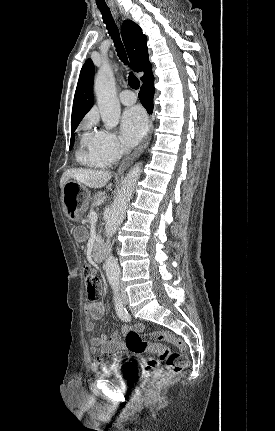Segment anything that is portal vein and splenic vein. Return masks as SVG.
I'll return each instance as SVG.
<instances>
[{
  "label": "portal vein and splenic vein",
  "instance_id": "portal-vein-and-splenic-vein-1",
  "mask_svg": "<svg viewBox=\"0 0 275 431\" xmlns=\"http://www.w3.org/2000/svg\"><path fill=\"white\" fill-rule=\"evenodd\" d=\"M89 219L91 221H96L98 219V214L96 212H90Z\"/></svg>",
  "mask_w": 275,
  "mask_h": 431
}]
</instances>
